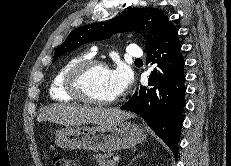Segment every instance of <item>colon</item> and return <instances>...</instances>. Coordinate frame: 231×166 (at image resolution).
<instances>
[{
    "label": "colon",
    "instance_id": "obj_1",
    "mask_svg": "<svg viewBox=\"0 0 231 166\" xmlns=\"http://www.w3.org/2000/svg\"><path fill=\"white\" fill-rule=\"evenodd\" d=\"M54 166H80L75 161L64 158V157H55L53 160Z\"/></svg>",
    "mask_w": 231,
    "mask_h": 166
}]
</instances>
